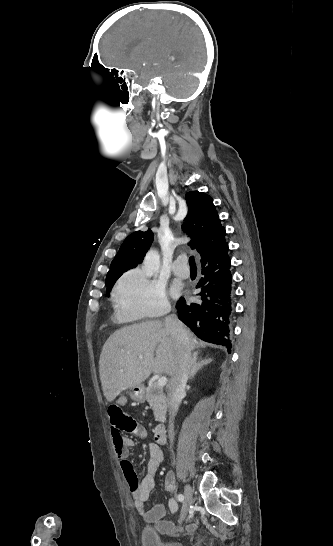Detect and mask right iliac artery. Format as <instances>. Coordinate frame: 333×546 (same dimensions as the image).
Instances as JSON below:
<instances>
[{
	"label": "right iliac artery",
	"instance_id": "1",
	"mask_svg": "<svg viewBox=\"0 0 333 546\" xmlns=\"http://www.w3.org/2000/svg\"><path fill=\"white\" fill-rule=\"evenodd\" d=\"M177 499H178L180 502H183V501H184V495L179 494V495L177 496Z\"/></svg>",
	"mask_w": 333,
	"mask_h": 546
}]
</instances>
